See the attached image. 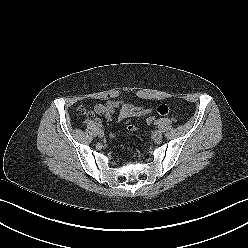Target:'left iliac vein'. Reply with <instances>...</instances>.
Returning a JSON list of instances; mask_svg holds the SVG:
<instances>
[{"mask_svg": "<svg viewBox=\"0 0 248 248\" xmlns=\"http://www.w3.org/2000/svg\"><path fill=\"white\" fill-rule=\"evenodd\" d=\"M161 138H162V133H161V131H155L154 133H153V139L155 140V141H160L161 140Z\"/></svg>", "mask_w": 248, "mask_h": 248, "instance_id": "left-iliac-vein-1", "label": "left iliac vein"}]
</instances>
